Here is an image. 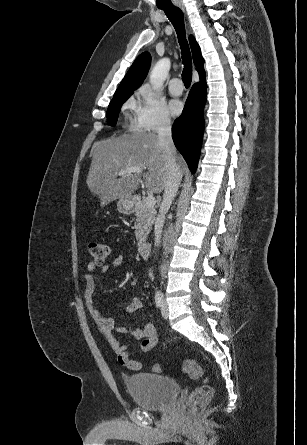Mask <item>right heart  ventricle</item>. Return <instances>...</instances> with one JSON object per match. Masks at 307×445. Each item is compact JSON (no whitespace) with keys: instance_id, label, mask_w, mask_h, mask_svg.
<instances>
[{"instance_id":"e07e8e85","label":"right heart ventricle","mask_w":307,"mask_h":445,"mask_svg":"<svg viewBox=\"0 0 307 445\" xmlns=\"http://www.w3.org/2000/svg\"><path fill=\"white\" fill-rule=\"evenodd\" d=\"M125 104L134 106L136 108V110H137V101L132 96L127 98V100L125 101Z\"/></svg>"}]
</instances>
